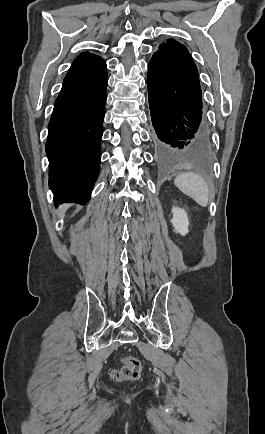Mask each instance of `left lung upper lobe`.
Returning a JSON list of instances; mask_svg holds the SVG:
<instances>
[{"label":"left lung upper lobe","instance_id":"left-lung-upper-lobe-1","mask_svg":"<svg viewBox=\"0 0 265 434\" xmlns=\"http://www.w3.org/2000/svg\"><path fill=\"white\" fill-rule=\"evenodd\" d=\"M154 54L163 56L168 62L173 64L201 92L196 64L184 45L174 39H169L166 43H162L159 46V50Z\"/></svg>","mask_w":265,"mask_h":434}]
</instances>
